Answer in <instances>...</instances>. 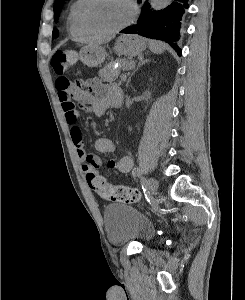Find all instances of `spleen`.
<instances>
[{"mask_svg": "<svg viewBox=\"0 0 245 300\" xmlns=\"http://www.w3.org/2000/svg\"><path fill=\"white\" fill-rule=\"evenodd\" d=\"M164 44L158 41H150L149 48L153 53L161 54L164 49Z\"/></svg>", "mask_w": 245, "mask_h": 300, "instance_id": "1", "label": "spleen"}]
</instances>
